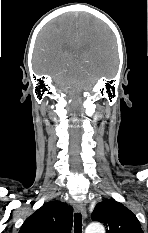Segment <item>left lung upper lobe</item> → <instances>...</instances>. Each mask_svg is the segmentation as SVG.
<instances>
[{"label":"left lung upper lobe","mask_w":148,"mask_h":233,"mask_svg":"<svg viewBox=\"0 0 148 233\" xmlns=\"http://www.w3.org/2000/svg\"><path fill=\"white\" fill-rule=\"evenodd\" d=\"M91 218L102 222L106 226V233H143L137 217L114 199L98 203Z\"/></svg>","instance_id":"obj_1"}]
</instances>
